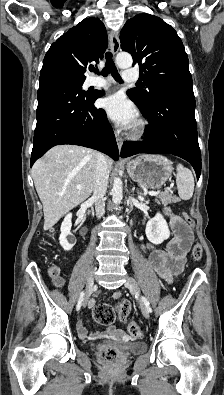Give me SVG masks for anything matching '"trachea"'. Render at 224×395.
Returning a JSON list of instances; mask_svg holds the SVG:
<instances>
[{
  "label": "trachea",
  "mask_w": 224,
  "mask_h": 395,
  "mask_svg": "<svg viewBox=\"0 0 224 395\" xmlns=\"http://www.w3.org/2000/svg\"><path fill=\"white\" fill-rule=\"evenodd\" d=\"M105 58H106V63H105V67L101 71V75L107 76L109 73H111L112 77L117 82L122 83L121 76L119 75L117 68L112 60V53L110 51H108L105 54ZM91 71L98 73L97 69H95V68H92Z\"/></svg>",
  "instance_id": "obj_1"
}]
</instances>
